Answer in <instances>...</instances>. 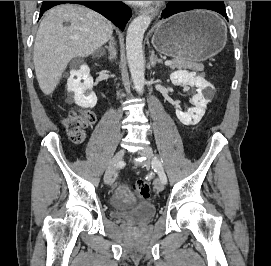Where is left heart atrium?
I'll return each mask as SVG.
<instances>
[{
    "label": "left heart atrium",
    "instance_id": "39dd6f15",
    "mask_svg": "<svg viewBox=\"0 0 271 266\" xmlns=\"http://www.w3.org/2000/svg\"><path fill=\"white\" fill-rule=\"evenodd\" d=\"M129 2L134 3V4H138V5H142V4L149 3L150 1H129Z\"/></svg>",
    "mask_w": 271,
    "mask_h": 266
}]
</instances>
